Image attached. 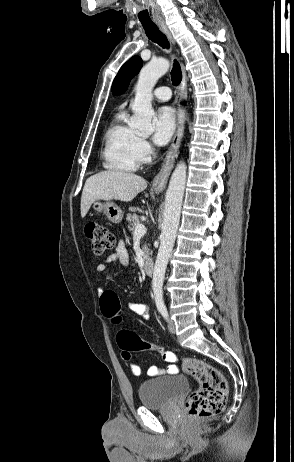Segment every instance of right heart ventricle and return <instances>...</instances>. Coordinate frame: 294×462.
Here are the masks:
<instances>
[{
    "mask_svg": "<svg viewBox=\"0 0 294 462\" xmlns=\"http://www.w3.org/2000/svg\"><path fill=\"white\" fill-rule=\"evenodd\" d=\"M137 133L125 122V113L115 115L104 134L102 164L117 172H132L139 165L135 144Z\"/></svg>",
    "mask_w": 294,
    "mask_h": 462,
    "instance_id": "1",
    "label": "right heart ventricle"
}]
</instances>
